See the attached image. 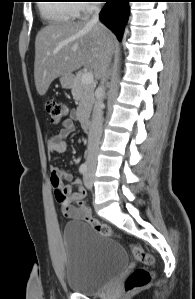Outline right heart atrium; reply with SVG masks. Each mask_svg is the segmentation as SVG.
Segmentation results:
<instances>
[{
    "instance_id": "1",
    "label": "right heart atrium",
    "mask_w": 195,
    "mask_h": 299,
    "mask_svg": "<svg viewBox=\"0 0 195 299\" xmlns=\"http://www.w3.org/2000/svg\"><path fill=\"white\" fill-rule=\"evenodd\" d=\"M80 3L76 4L75 13L77 15H87L92 11V8L89 6L88 2L90 1H79Z\"/></svg>"
}]
</instances>
